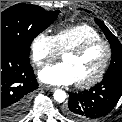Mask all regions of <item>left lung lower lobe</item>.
Segmentation results:
<instances>
[{"mask_svg":"<svg viewBox=\"0 0 122 122\" xmlns=\"http://www.w3.org/2000/svg\"><path fill=\"white\" fill-rule=\"evenodd\" d=\"M122 95V72L105 76L103 80L80 93H69L63 114L77 122L89 121L107 115Z\"/></svg>","mask_w":122,"mask_h":122,"instance_id":"1","label":"left lung lower lobe"}]
</instances>
